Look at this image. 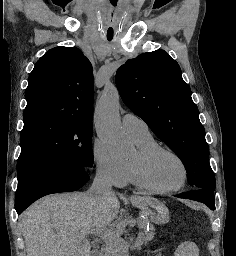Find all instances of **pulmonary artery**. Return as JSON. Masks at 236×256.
Instances as JSON below:
<instances>
[{"instance_id":"1","label":"pulmonary artery","mask_w":236,"mask_h":256,"mask_svg":"<svg viewBox=\"0 0 236 256\" xmlns=\"http://www.w3.org/2000/svg\"><path fill=\"white\" fill-rule=\"evenodd\" d=\"M122 126L126 133L133 138H142L150 135L147 124L133 113L122 117Z\"/></svg>"}]
</instances>
